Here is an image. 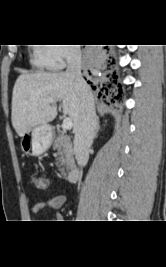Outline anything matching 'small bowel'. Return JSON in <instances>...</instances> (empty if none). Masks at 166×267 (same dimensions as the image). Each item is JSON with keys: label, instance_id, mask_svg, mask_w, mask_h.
Instances as JSON below:
<instances>
[{"label": "small bowel", "instance_id": "obj_1", "mask_svg": "<svg viewBox=\"0 0 166 267\" xmlns=\"http://www.w3.org/2000/svg\"><path fill=\"white\" fill-rule=\"evenodd\" d=\"M66 202V196L55 195L48 200L38 202L33 207V212L38 214L42 213L48 209L59 210L63 207ZM63 217L60 213L56 214V219L61 220Z\"/></svg>", "mask_w": 166, "mask_h": 267}]
</instances>
